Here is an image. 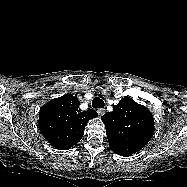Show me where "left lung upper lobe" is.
<instances>
[{
    "label": "left lung upper lobe",
    "instance_id": "obj_1",
    "mask_svg": "<svg viewBox=\"0 0 187 187\" xmlns=\"http://www.w3.org/2000/svg\"><path fill=\"white\" fill-rule=\"evenodd\" d=\"M105 124L109 146L120 156L140 151L154 134V118L144 106L125 97L113 106L112 112L101 117Z\"/></svg>",
    "mask_w": 187,
    "mask_h": 187
}]
</instances>
